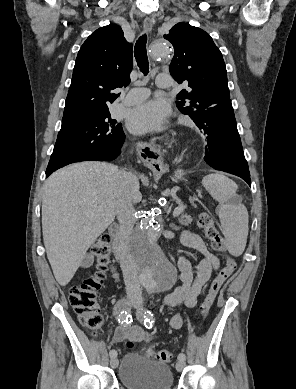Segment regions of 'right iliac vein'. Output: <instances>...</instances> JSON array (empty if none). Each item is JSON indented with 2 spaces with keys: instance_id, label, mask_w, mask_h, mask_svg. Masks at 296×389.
Here are the masks:
<instances>
[{
  "instance_id": "1",
  "label": "right iliac vein",
  "mask_w": 296,
  "mask_h": 389,
  "mask_svg": "<svg viewBox=\"0 0 296 389\" xmlns=\"http://www.w3.org/2000/svg\"><path fill=\"white\" fill-rule=\"evenodd\" d=\"M131 302L133 303V300L131 299ZM128 304L130 305V303L128 302ZM110 365L112 366V368H116L118 366V359L117 357H111V360H110Z\"/></svg>"
}]
</instances>
